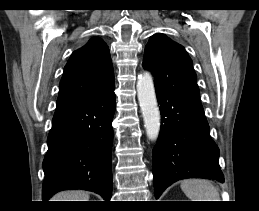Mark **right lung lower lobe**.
<instances>
[{"instance_id": "1", "label": "right lung lower lobe", "mask_w": 259, "mask_h": 211, "mask_svg": "<svg viewBox=\"0 0 259 211\" xmlns=\"http://www.w3.org/2000/svg\"><path fill=\"white\" fill-rule=\"evenodd\" d=\"M114 88L89 101L55 111L43 161L42 197L83 189L109 201L112 193Z\"/></svg>"}]
</instances>
